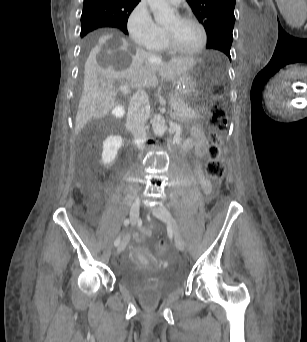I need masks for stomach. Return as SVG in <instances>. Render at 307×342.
Listing matches in <instances>:
<instances>
[{
	"label": "stomach",
	"mask_w": 307,
	"mask_h": 342,
	"mask_svg": "<svg viewBox=\"0 0 307 342\" xmlns=\"http://www.w3.org/2000/svg\"><path fill=\"white\" fill-rule=\"evenodd\" d=\"M199 66L196 64L173 81V93L183 100L192 101L195 96Z\"/></svg>",
	"instance_id": "obj_1"
}]
</instances>
